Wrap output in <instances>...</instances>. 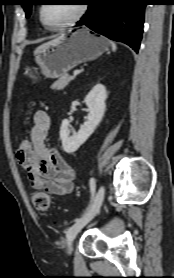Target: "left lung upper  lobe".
<instances>
[{
    "instance_id": "obj_1",
    "label": "left lung upper lobe",
    "mask_w": 174,
    "mask_h": 278,
    "mask_svg": "<svg viewBox=\"0 0 174 278\" xmlns=\"http://www.w3.org/2000/svg\"><path fill=\"white\" fill-rule=\"evenodd\" d=\"M34 2H35V0H22V4L21 5L23 6V8H24V10L26 12V17L30 16V14H31V7H32L33 4H35Z\"/></svg>"
}]
</instances>
